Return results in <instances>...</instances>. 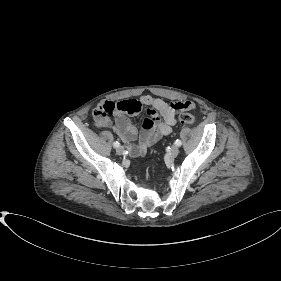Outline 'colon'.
Returning <instances> with one entry per match:
<instances>
[{
  "label": "colon",
  "mask_w": 281,
  "mask_h": 281,
  "mask_svg": "<svg viewBox=\"0 0 281 281\" xmlns=\"http://www.w3.org/2000/svg\"><path fill=\"white\" fill-rule=\"evenodd\" d=\"M186 106H188V104H186ZM140 110L141 106L137 102H132L128 105H126L124 102H120L117 104L112 103L107 104L95 111V118L99 125H103L110 116L120 114L122 111H126L127 113H134ZM179 121L184 125L192 126L195 122V119L190 113H181L179 115Z\"/></svg>",
  "instance_id": "obj_1"
}]
</instances>
